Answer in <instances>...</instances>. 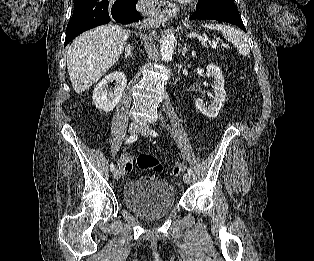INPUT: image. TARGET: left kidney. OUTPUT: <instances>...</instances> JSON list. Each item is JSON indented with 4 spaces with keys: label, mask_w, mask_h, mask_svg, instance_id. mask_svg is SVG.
<instances>
[{
    "label": "left kidney",
    "mask_w": 314,
    "mask_h": 261,
    "mask_svg": "<svg viewBox=\"0 0 314 261\" xmlns=\"http://www.w3.org/2000/svg\"><path fill=\"white\" fill-rule=\"evenodd\" d=\"M207 77H211L214 80V97L211 104L207 107L202 99L197 98L195 101L196 108L208 118L217 117L221 107L222 102L225 100L226 92L224 90V78L221 69L214 64L207 65L206 71Z\"/></svg>",
    "instance_id": "left-kidney-1"
}]
</instances>
